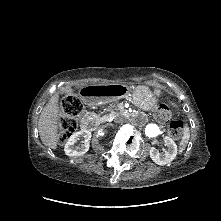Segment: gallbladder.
I'll return each instance as SVG.
<instances>
[{
    "label": "gallbladder",
    "mask_w": 221,
    "mask_h": 221,
    "mask_svg": "<svg viewBox=\"0 0 221 221\" xmlns=\"http://www.w3.org/2000/svg\"><path fill=\"white\" fill-rule=\"evenodd\" d=\"M63 93H65L66 95H69V94L72 93V90H71L70 88H65V89L63 90Z\"/></svg>",
    "instance_id": "bac80fb5"
}]
</instances>
